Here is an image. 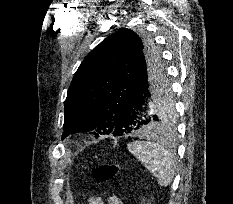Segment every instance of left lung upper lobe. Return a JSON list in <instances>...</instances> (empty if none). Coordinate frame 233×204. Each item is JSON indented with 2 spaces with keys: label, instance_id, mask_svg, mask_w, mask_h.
<instances>
[{
  "label": "left lung upper lobe",
  "instance_id": "5c2ea615",
  "mask_svg": "<svg viewBox=\"0 0 233 204\" xmlns=\"http://www.w3.org/2000/svg\"><path fill=\"white\" fill-rule=\"evenodd\" d=\"M154 56L160 57L153 41L130 29H120L94 48L82 61L68 89L62 138L78 132L96 137L123 135L125 131L115 122L119 103L140 59ZM154 114L158 131L174 129L176 111L169 82Z\"/></svg>",
  "mask_w": 233,
  "mask_h": 204
}]
</instances>
